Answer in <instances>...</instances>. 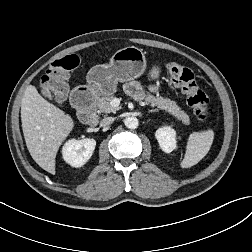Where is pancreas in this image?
I'll return each mask as SVG.
<instances>
[{"mask_svg": "<svg viewBox=\"0 0 252 252\" xmlns=\"http://www.w3.org/2000/svg\"><path fill=\"white\" fill-rule=\"evenodd\" d=\"M112 100L113 94L98 98L96 104L99 111L103 113L115 112L118 108L112 106ZM145 103L152 107H157V110H165L185 125L189 124V116L181 110L175 101H172L167 97L154 96L148 93L145 97Z\"/></svg>", "mask_w": 252, "mask_h": 252, "instance_id": "cf45deb5", "label": "pancreas"}]
</instances>
